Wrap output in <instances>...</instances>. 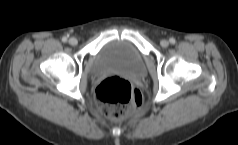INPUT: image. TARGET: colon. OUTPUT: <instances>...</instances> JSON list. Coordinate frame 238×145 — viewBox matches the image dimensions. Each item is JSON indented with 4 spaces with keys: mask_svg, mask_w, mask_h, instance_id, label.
I'll use <instances>...</instances> for the list:
<instances>
[{
    "mask_svg": "<svg viewBox=\"0 0 238 145\" xmlns=\"http://www.w3.org/2000/svg\"><path fill=\"white\" fill-rule=\"evenodd\" d=\"M95 98L100 111L115 119L133 116L142 106L140 91L120 76L104 79L95 90Z\"/></svg>",
    "mask_w": 238,
    "mask_h": 145,
    "instance_id": "obj_1",
    "label": "colon"
}]
</instances>
